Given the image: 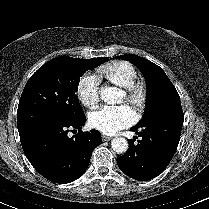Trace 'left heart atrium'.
Returning a JSON list of instances; mask_svg holds the SVG:
<instances>
[{"mask_svg": "<svg viewBox=\"0 0 209 209\" xmlns=\"http://www.w3.org/2000/svg\"><path fill=\"white\" fill-rule=\"evenodd\" d=\"M135 120V111L126 104L103 106L89 115L90 126L106 134H113Z\"/></svg>", "mask_w": 209, "mask_h": 209, "instance_id": "left-heart-atrium-1", "label": "left heart atrium"}]
</instances>
